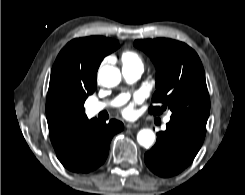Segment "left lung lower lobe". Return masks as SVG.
I'll list each match as a JSON object with an SVG mask.
<instances>
[{
  "label": "left lung lower lobe",
  "instance_id": "0a47b994",
  "mask_svg": "<svg viewBox=\"0 0 245 195\" xmlns=\"http://www.w3.org/2000/svg\"><path fill=\"white\" fill-rule=\"evenodd\" d=\"M166 126L144 157L148 168L161 177L177 175L190 165L206 134V126L193 122L170 119Z\"/></svg>",
  "mask_w": 245,
  "mask_h": 195
}]
</instances>
